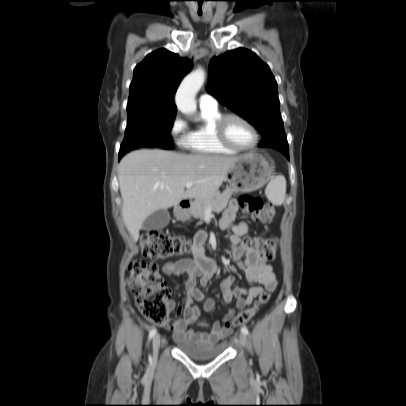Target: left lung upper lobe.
<instances>
[{
	"label": "left lung upper lobe",
	"instance_id": "left-lung-upper-lobe-1",
	"mask_svg": "<svg viewBox=\"0 0 406 406\" xmlns=\"http://www.w3.org/2000/svg\"><path fill=\"white\" fill-rule=\"evenodd\" d=\"M206 90L258 129L259 147L288 150L277 83L255 53L238 48L213 57Z\"/></svg>",
	"mask_w": 406,
	"mask_h": 406
}]
</instances>
